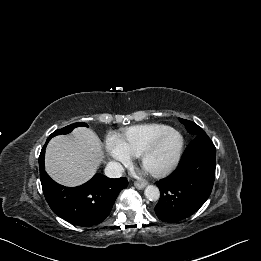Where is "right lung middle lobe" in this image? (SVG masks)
<instances>
[{
	"mask_svg": "<svg viewBox=\"0 0 261 261\" xmlns=\"http://www.w3.org/2000/svg\"><path fill=\"white\" fill-rule=\"evenodd\" d=\"M79 126L88 127V125L84 122L74 123V124H71V125H68V126L62 128V129L56 130L49 136V138L51 139L52 137L59 135V134H67V133L71 132L74 128L79 127Z\"/></svg>",
	"mask_w": 261,
	"mask_h": 261,
	"instance_id": "obj_1",
	"label": "right lung middle lobe"
}]
</instances>
